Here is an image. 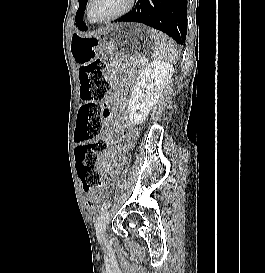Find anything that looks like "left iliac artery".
Listing matches in <instances>:
<instances>
[{
  "mask_svg": "<svg viewBox=\"0 0 265 273\" xmlns=\"http://www.w3.org/2000/svg\"><path fill=\"white\" fill-rule=\"evenodd\" d=\"M111 206V202L107 201L105 202L102 207H101V212H104L105 210H107L109 207Z\"/></svg>",
  "mask_w": 265,
  "mask_h": 273,
  "instance_id": "1",
  "label": "left iliac artery"
}]
</instances>
